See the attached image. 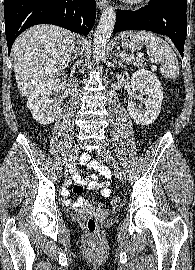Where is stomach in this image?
Masks as SVG:
<instances>
[{"label": "stomach", "instance_id": "1", "mask_svg": "<svg viewBox=\"0 0 195 270\" xmlns=\"http://www.w3.org/2000/svg\"><path fill=\"white\" fill-rule=\"evenodd\" d=\"M122 47L130 51L141 49L143 39L136 32H124L120 35Z\"/></svg>", "mask_w": 195, "mask_h": 270}]
</instances>
